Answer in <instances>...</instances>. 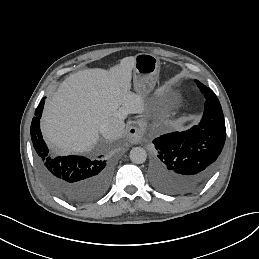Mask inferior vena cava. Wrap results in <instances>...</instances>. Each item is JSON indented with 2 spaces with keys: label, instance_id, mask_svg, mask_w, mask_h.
<instances>
[{
  "label": "inferior vena cava",
  "instance_id": "obj_1",
  "mask_svg": "<svg viewBox=\"0 0 259 259\" xmlns=\"http://www.w3.org/2000/svg\"><path fill=\"white\" fill-rule=\"evenodd\" d=\"M125 113L117 112L115 116L105 120L100 126V133L107 139H118L124 133L125 123L123 121Z\"/></svg>",
  "mask_w": 259,
  "mask_h": 259
}]
</instances>
